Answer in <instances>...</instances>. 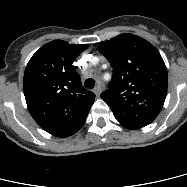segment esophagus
I'll return each mask as SVG.
<instances>
[{"mask_svg":"<svg viewBox=\"0 0 187 187\" xmlns=\"http://www.w3.org/2000/svg\"><path fill=\"white\" fill-rule=\"evenodd\" d=\"M103 90V86L102 84H98L95 88H94V93L96 94V96H99L101 94Z\"/></svg>","mask_w":187,"mask_h":187,"instance_id":"esophagus-1","label":"esophagus"}]
</instances>
